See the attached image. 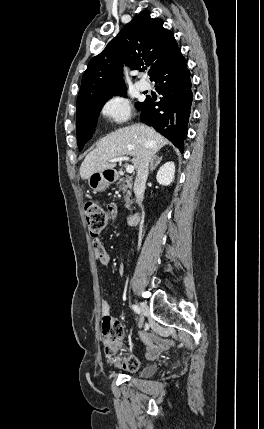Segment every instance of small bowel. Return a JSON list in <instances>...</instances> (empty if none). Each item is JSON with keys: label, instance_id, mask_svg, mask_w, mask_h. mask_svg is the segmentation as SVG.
<instances>
[{"label": "small bowel", "instance_id": "small-bowel-1", "mask_svg": "<svg viewBox=\"0 0 264 429\" xmlns=\"http://www.w3.org/2000/svg\"><path fill=\"white\" fill-rule=\"evenodd\" d=\"M115 215H116V208L112 207V217H115ZM93 249L97 260L103 266H107L110 264L111 256L103 246L102 242L97 238L93 240ZM123 271H124V268L121 267L119 270L120 274H122ZM107 309H108L107 303L103 302L102 303L103 312H106ZM141 339L143 343L146 345V356L150 359H154L158 357L163 350L168 349L171 345L170 341L162 339L155 335H150L148 333H142ZM127 358H125L123 363L121 364L123 368H127V361H126Z\"/></svg>", "mask_w": 264, "mask_h": 429}]
</instances>
